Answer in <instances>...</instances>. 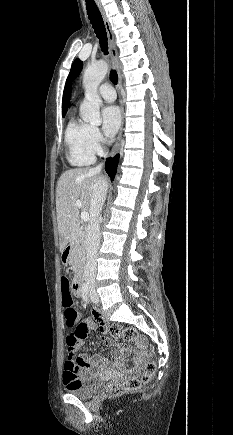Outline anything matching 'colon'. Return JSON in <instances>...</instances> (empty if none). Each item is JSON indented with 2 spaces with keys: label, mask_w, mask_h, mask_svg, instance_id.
<instances>
[{
  "label": "colon",
  "mask_w": 233,
  "mask_h": 435,
  "mask_svg": "<svg viewBox=\"0 0 233 435\" xmlns=\"http://www.w3.org/2000/svg\"><path fill=\"white\" fill-rule=\"evenodd\" d=\"M64 283L69 281L68 277L64 275L62 277ZM63 304L65 306L64 317L66 325L72 327L78 320L79 314L74 307V298L70 295L63 297ZM110 334L114 337H122L125 341H134L137 339V331L133 328L122 327L120 325H113L109 329ZM67 356L71 361L77 364H82L81 358L78 356L75 342L72 339L67 340ZM155 373V364L152 358L148 361L144 368L141 379L128 378L121 382H113L105 386L103 393L107 397H116L123 394H127L133 390L138 389L141 384L151 381Z\"/></svg>",
  "instance_id": "5ec220e1"
}]
</instances>
